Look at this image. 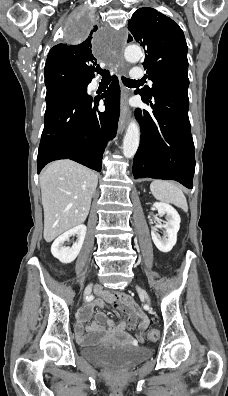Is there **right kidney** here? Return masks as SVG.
Listing matches in <instances>:
<instances>
[{"label": "right kidney", "mask_w": 228, "mask_h": 396, "mask_svg": "<svg viewBox=\"0 0 228 396\" xmlns=\"http://www.w3.org/2000/svg\"><path fill=\"white\" fill-rule=\"evenodd\" d=\"M87 228L80 224L59 236L51 246L52 255L61 263L68 264L73 262L78 256L86 235ZM77 236V241L72 247L63 246L64 242L69 240L71 236Z\"/></svg>", "instance_id": "1"}]
</instances>
